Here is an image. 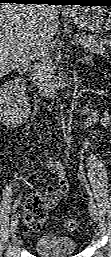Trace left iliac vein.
I'll return each mask as SVG.
<instances>
[{"instance_id":"obj_1","label":"left iliac vein","mask_w":111,"mask_h":257,"mask_svg":"<svg viewBox=\"0 0 111 257\" xmlns=\"http://www.w3.org/2000/svg\"><path fill=\"white\" fill-rule=\"evenodd\" d=\"M89 211H90V214H91L93 220L96 221L97 220L96 205L91 198L89 199Z\"/></svg>"}]
</instances>
